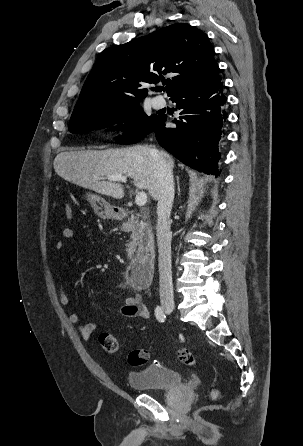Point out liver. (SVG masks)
Returning <instances> with one entry per match:
<instances>
[{
    "mask_svg": "<svg viewBox=\"0 0 303 446\" xmlns=\"http://www.w3.org/2000/svg\"><path fill=\"white\" fill-rule=\"evenodd\" d=\"M158 153L172 170L174 159L163 150ZM53 166L61 178L116 199L124 197L123 186L103 178L110 175L129 176L137 189H147L152 198L157 199L155 165L151 148L147 146L102 151H63L55 157Z\"/></svg>",
    "mask_w": 303,
    "mask_h": 446,
    "instance_id": "1",
    "label": "liver"
}]
</instances>
